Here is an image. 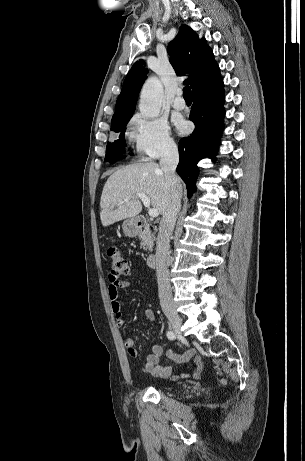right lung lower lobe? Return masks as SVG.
I'll return each mask as SVG.
<instances>
[{"mask_svg": "<svg viewBox=\"0 0 305 461\" xmlns=\"http://www.w3.org/2000/svg\"><path fill=\"white\" fill-rule=\"evenodd\" d=\"M193 95L190 120L194 122L195 129L179 142L180 161L177 167V173L186 183L188 197L195 190L197 163L207 156L214 159L223 130L225 97L220 73L196 88Z\"/></svg>", "mask_w": 305, "mask_h": 461, "instance_id": "right-lung-lower-lobe-1", "label": "right lung lower lobe"}]
</instances>
